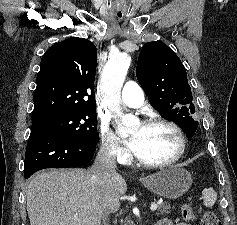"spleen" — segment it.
<instances>
[{
  "label": "spleen",
  "mask_w": 237,
  "mask_h": 225,
  "mask_svg": "<svg viewBox=\"0 0 237 225\" xmlns=\"http://www.w3.org/2000/svg\"><path fill=\"white\" fill-rule=\"evenodd\" d=\"M203 204L206 207H212L217 200V193L213 188H207L202 191Z\"/></svg>",
  "instance_id": "1"
}]
</instances>
